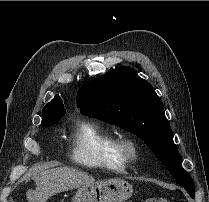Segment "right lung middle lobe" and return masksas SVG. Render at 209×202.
Listing matches in <instances>:
<instances>
[{"instance_id": "dd1d6c3e", "label": "right lung middle lobe", "mask_w": 209, "mask_h": 202, "mask_svg": "<svg viewBox=\"0 0 209 202\" xmlns=\"http://www.w3.org/2000/svg\"><path fill=\"white\" fill-rule=\"evenodd\" d=\"M65 112L66 110L64 108H57L47 112L43 111L42 118L48 119L49 121L52 122L51 124L45 127H49L51 125L56 124L64 116Z\"/></svg>"}]
</instances>
